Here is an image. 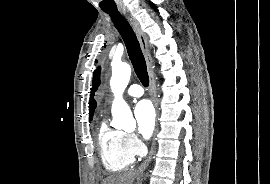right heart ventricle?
<instances>
[{"label": "right heart ventricle", "instance_id": "obj_1", "mask_svg": "<svg viewBox=\"0 0 270 184\" xmlns=\"http://www.w3.org/2000/svg\"><path fill=\"white\" fill-rule=\"evenodd\" d=\"M98 146L104 167L108 171H121L135 160V153L126 142V134L102 121L98 130Z\"/></svg>", "mask_w": 270, "mask_h": 184}]
</instances>
